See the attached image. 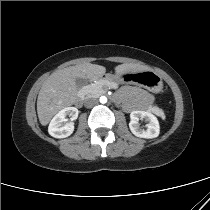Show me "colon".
<instances>
[{
  "label": "colon",
  "mask_w": 210,
  "mask_h": 210,
  "mask_svg": "<svg viewBox=\"0 0 210 210\" xmlns=\"http://www.w3.org/2000/svg\"><path fill=\"white\" fill-rule=\"evenodd\" d=\"M129 79V76L128 77H125V80H128Z\"/></svg>",
  "instance_id": "colon-1"
}]
</instances>
